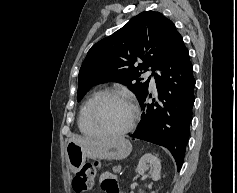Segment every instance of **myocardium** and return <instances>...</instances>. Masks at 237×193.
<instances>
[{
  "instance_id": "1",
  "label": "myocardium",
  "mask_w": 237,
  "mask_h": 193,
  "mask_svg": "<svg viewBox=\"0 0 237 193\" xmlns=\"http://www.w3.org/2000/svg\"><path fill=\"white\" fill-rule=\"evenodd\" d=\"M107 98H118L121 100L126 101L132 108V118L130 123L123 129L118 131H109L101 128L97 121H96V110L100 103L107 99ZM140 115V109L137 104V102L134 100V98L121 93L117 91H104L97 95V97L93 100V102L90 105L89 112H88V118L91 126L95 129V131L101 135L106 137H117L122 136L130 132L136 125Z\"/></svg>"
}]
</instances>
